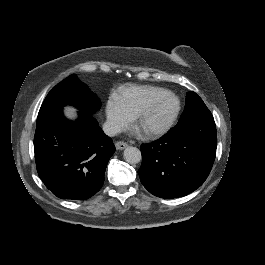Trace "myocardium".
<instances>
[{
    "instance_id": "obj_1",
    "label": "myocardium",
    "mask_w": 265,
    "mask_h": 265,
    "mask_svg": "<svg viewBox=\"0 0 265 265\" xmlns=\"http://www.w3.org/2000/svg\"><path fill=\"white\" fill-rule=\"evenodd\" d=\"M163 93L171 95L177 101V107H176L175 111L170 116L163 119L157 125H155L151 128H148V129H141L143 134H145L146 136L153 137V136H156V135L162 133L169 125H171L177 119V117L179 116V114L181 112L182 101H181L180 97L171 90L158 89L157 91H155L154 95L148 100V102L143 106V108L138 112V114L136 116L137 120L139 121L140 119L145 117V115L150 110L156 96L159 94H163Z\"/></svg>"
}]
</instances>
